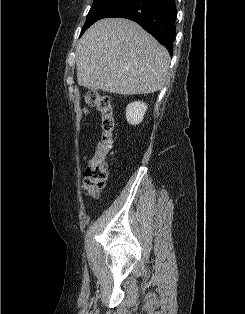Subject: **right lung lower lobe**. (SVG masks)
<instances>
[{
	"instance_id": "right-lung-lower-lobe-1",
	"label": "right lung lower lobe",
	"mask_w": 245,
	"mask_h": 314,
	"mask_svg": "<svg viewBox=\"0 0 245 314\" xmlns=\"http://www.w3.org/2000/svg\"><path fill=\"white\" fill-rule=\"evenodd\" d=\"M175 0H126L104 18H126L138 23L173 53Z\"/></svg>"
}]
</instances>
